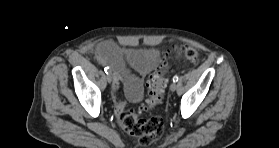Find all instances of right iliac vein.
<instances>
[{
	"label": "right iliac vein",
	"mask_w": 279,
	"mask_h": 148,
	"mask_svg": "<svg viewBox=\"0 0 279 148\" xmlns=\"http://www.w3.org/2000/svg\"><path fill=\"white\" fill-rule=\"evenodd\" d=\"M106 80H107L108 83H111V82H112V76H111V74H107V75H106Z\"/></svg>",
	"instance_id": "63e3f726"
}]
</instances>
